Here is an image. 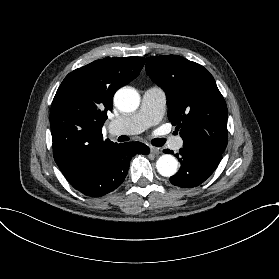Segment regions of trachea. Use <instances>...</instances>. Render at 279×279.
I'll use <instances>...</instances> for the list:
<instances>
[{"instance_id": "trachea-1", "label": "trachea", "mask_w": 279, "mask_h": 279, "mask_svg": "<svg viewBox=\"0 0 279 279\" xmlns=\"http://www.w3.org/2000/svg\"><path fill=\"white\" fill-rule=\"evenodd\" d=\"M127 140H128V137H126V136H120L118 138L119 142H123V141H127ZM152 143H153V145L160 147L166 143V139L165 138H156L152 141Z\"/></svg>"}]
</instances>
